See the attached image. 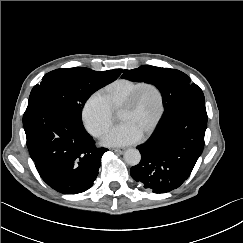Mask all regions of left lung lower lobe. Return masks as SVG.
Here are the masks:
<instances>
[{
    "instance_id": "1",
    "label": "left lung lower lobe",
    "mask_w": 243,
    "mask_h": 243,
    "mask_svg": "<svg viewBox=\"0 0 243 243\" xmlns=\"http://www.w3.org/2000/svg\"><path fill=\"white\" fill-rule=\"evenodd\" d=\"M206 127L204 99L193 100L174 111L137 147L141 161L130 169L132 178L154 193L178 188L203 151Z\"/></svg>"
}]
</instances>
